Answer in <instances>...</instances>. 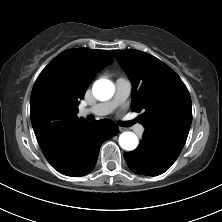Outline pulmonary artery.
Returning a JSON list of instances; mask_svg holds the SVG:
<instances>
[{
	"label": "pulmonary artery",
	"instance_id": "e3ab8cb5",
	"mask_svg": "<svg viewBox=\"0 0 222 222\" xmlns=\"http://www.w3.org/2000/svg\"><path fill=\"white\" fill-rule=\"evenodd\" d=\"M132 90V84L129 79L120 77L116 80V91L114 97L106 102L98 103L93 106L83 108L80 111L82 116L92 114L97 116L110 114L118 105L123 103L130 95ZM136 132L142 134L144 132V127L138 125L136 127Z\"/></svg>",
	"mask_w": 222,
	"mask_h": 222
}]
</instances>
